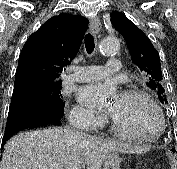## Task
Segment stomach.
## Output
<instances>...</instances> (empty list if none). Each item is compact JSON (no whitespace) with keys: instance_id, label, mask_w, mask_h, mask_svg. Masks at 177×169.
Instances as JSON below:
<instances>
[{"instance_id":"stomach-1","label":"stomach","mask_w":177,"mask_h":169,"mask_svg":"<svg viewBox=\"0 0 177 169\" xmlns=\"http://www.w3.org/2000/svg\"><path fill=\"white\" fill-rule=\"evenodd\" d=\"M121 158L117 153L109 156L108 159L105 160L102 169H120Z\"/></svg>"}]
</instances>
